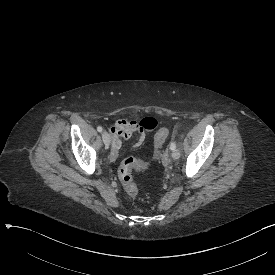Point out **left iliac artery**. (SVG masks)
Returning <instances> with one entry per match:
<instances>
[{"instance_id":"left-iliac-artery-1","label":"left iliac artery","mask_w":275,"mask_h":275,"mask_svg":"<svg viewBox=\"0 0 275 275\" xmlns=\"http://www.w3.org/2000/svg\"><path fill=\"white\" fill-rule=\"evenodd\" d=\"M170 149L171 150L176 149V142L175 141H173V142L170 143Z\"/></svg>"}]
</instances>
